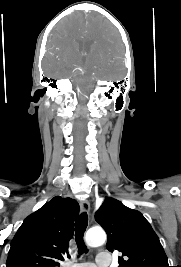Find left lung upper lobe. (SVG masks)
Returning a JSON list of instances; mask_svg holds the SVG:
<instances>
[{"instance_id": "left-lung-upper-lobe-1", "label": "left lung upper lobe", "mask_w": 181, "mask_h": 267, "mask_svg": "<svg viewBox=\"0 0 181 267\" xmlns=\"http://www.w3.org/2000/svg\"><path fill=\"white\" fill-rule=\"evenodd\" d=\"M95 218L107 233V249L122 253L118 267H169L158 236L139 211L106 198Z\"/></svg>"}]
</instances>
